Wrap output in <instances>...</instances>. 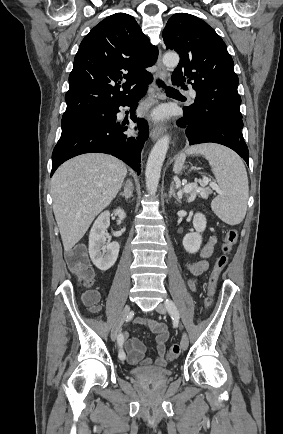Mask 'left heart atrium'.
I'll return each mask as SVG.
<instances>
[{
  "label": "left heart atrium",
  "instance_id": "obj_1",
  "mask_svg": "<svg viewBox=\"0 0 283 434\" xmlns=\"http://www.w3.org/2000/svg\"><path fill=\"white\" fill-rule=\"evenodd\" d=\"M164 116H165V111L162 109H158L153 113L152 118L153 120L158 121L163 119Z\"/></svg>",
  "mask_w": 283,
  "mask_h": 434
}]
</instances>
